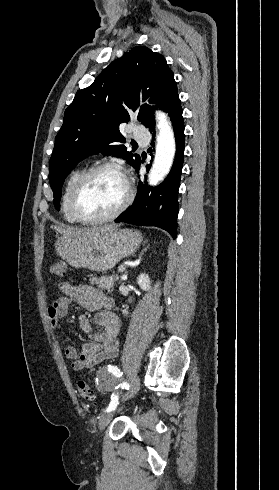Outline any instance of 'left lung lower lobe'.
I'll list each match as a JSON object with an SVG mask.
<instances>
[{
  "mask_svg": "<svg viewBox=\"0 0 279 490\" xmlns=\"http://www.w3.org/2000/svg\"><path fill=\"white\" fill-rule=\"evenodd\" d=\"M172 120L176 139V154L173 166L162 184L151 189L139 182L138 192L131 207L123 212L115 222H125L141 226H156L177 235L178 189L184 160V119L182 107L177 96L166 109ZM152 138H155V122L149 125ZM141 159L135 166L139 170ZM149 165H147V168Z\"/></svg>",
  "mask_w": 279,
  "mask_h": 490,
  "instance_id": "0a47b994",
  "label": "left lung lower lobe"
}]
</instances>
